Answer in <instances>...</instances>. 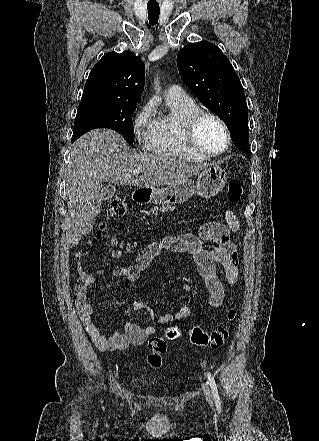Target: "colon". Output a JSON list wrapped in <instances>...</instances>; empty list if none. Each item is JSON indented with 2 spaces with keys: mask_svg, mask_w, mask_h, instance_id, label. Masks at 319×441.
Wrapping results in <instances>:
<instances>
[{
  "mask_svg": "<svg viewBox=\"0 0 319 441\" xmlns=\"http://www.w3.org/2000/svg\"><path fill=\"white\" fill-rule=\"evenodd\" d=\"M244 192V188L240 181L231 180L228 183L227 200L233 204L238 203L242 199ZM107 211L109 217H119L124 215L126 211V201L124 196L122 194L115 195L110 200ZM101 228L102 230H105L106 225H102ZM98 236H100V233ZM235 314L234 310H230L227 315L228 320H233ZM178 333L177 327L174 326L170 329H166L165 337L153 336L148 340V348L151 352L147 357V361L151 367L159 368L162 365L163 355L167 349L166 339L173 340L177 337ZM229 335L230 325L229 323H224L209 332L202 330L200 327H194L190 332V339L196 346L218 349L225 344Z\"/></svg>",
  "mask_w": 319,
  "mask_h": 441,
  "instance_id": "1",
  "label": "colon"
}]
</instances>
